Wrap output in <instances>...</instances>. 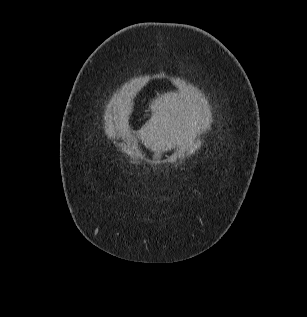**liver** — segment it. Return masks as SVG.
<instances>
[{
	"label": "liver",
	"mask_w": 307,
	"mask_h": 317,
	"mask_svg": "<svg viewBox=\"0 0 307 317\" xmlns=\"http://www.w3.org/2000/svg\"><path fill=\"white\" fill-rule=\"evenodd\" d=\"M133 104L123 97L113 98L107 105L106 115L110 123L124 133ZM151 119L140 130V138L156 153H162L175 145L190 147L198 133L208 125L206 109L193 89L182 93L167 92L159 95L149 105Z\"/></svg>",
	"instance_id": "obj_1"
}]
</instances>
